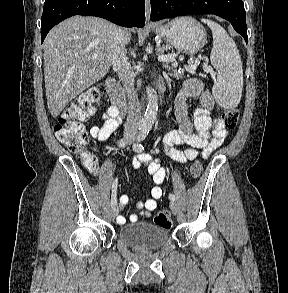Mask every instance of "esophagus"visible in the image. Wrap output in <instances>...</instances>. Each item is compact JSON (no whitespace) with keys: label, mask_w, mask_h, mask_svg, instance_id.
Instances as JSON below:
<instances>
[{"label":"esophagus","mask_w":288,"mask_h":293,"mask_svg":"<svg viewBox=\"0 0 288 293\" xmlns=\"http://www.w3.org/2000/svg\"><path fill=\"white\" fill-rule=\"evenodd\" d=\"M150 12H151L150 0H146L145 15H146V23H147V25H150L151 24V21H150Z\"/></svg>","instance_id":"34e87169"}]
</instances>
